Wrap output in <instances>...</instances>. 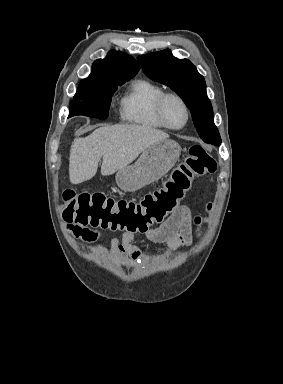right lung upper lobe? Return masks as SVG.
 Listing matches in <instances>:
<instances>
[{"label": "right lung upper lobe", "instance_id": "obj_1", "mask_svg": "<svg viewBox=\"0 0 283 384\" xmlns=\"http://www.w3.org/2000/svg\"><path fill=\"white\" fill-rule=\"evenodd\" d=\"M138 70L139 65L134 58L112 50L105 59L93 63L91 74L81 80L78 89L125 82L133 78Z\"/></svg>", "mask_w": 283, "mask_h": 384}]
</instances>
